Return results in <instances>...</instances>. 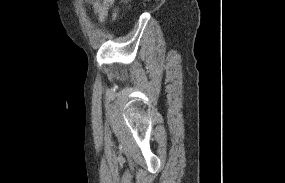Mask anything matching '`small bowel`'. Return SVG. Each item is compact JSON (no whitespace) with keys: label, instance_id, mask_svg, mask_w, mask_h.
Wrapping results in <instances>:
<instances>
[{"label":"small bowel","instance_id":"1","mask_svg":"<svg viewBox=\"0 0 285 183\" xmlns=\"http://www.w3.org/2000/svg\"><path fill=\"white\" fill-rule=\"evenodd\" d=\"M115 0H87L92 6L93 13L100 23H104L109 15V10L113 6ZM117 18V13H112V19Z\"/></svg>","mask_w":285,"mask_h":183}]
</instances>
